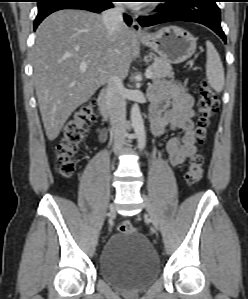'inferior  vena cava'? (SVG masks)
Returning a JSON list of instances; mask_svg holds the SVG:
<instances>
[{
    "instance_id": "1",
    "label": "inferior vena cava",
    "mask_w": 248,
    "mask_h": 299,
    "mask_svg": "<svg viewBox=\"0 0 248 299\" xmlns=\"http://www.w3.org/2000/svg\"><path fill=\"white\" fill-rule=\"evenodd\" d=\"M123 12V7L115 4L113 8L107 9L102 13L103 24L110 36H113L117 27L123 24ZM124 91L122 78L116 73L110 75L107 81V109L113 131L114 152L116 154L123 150L127 136Z\"/></svg>"
}]
</instances>
